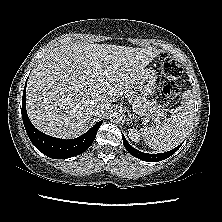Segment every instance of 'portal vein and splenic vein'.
Listing matches in <instances>:
<instances>
[{"label": "portal vein and splenic vein", "instance_id": "portal-vein-and-splenic-vein-1", "mask_svg": "<svg viewBox=\"0 0 222 222\" xmlns=\"http://www.w3.org/2000/svg\"><path fill=\"white\" fill-rule=\"evenodd\" d=\"M100 81H102L103 79L102 78H100L99 79ZM132 107H133V109H135V112L137 113V114H140L137 110H136V108H135V105L133 104L132 105ZM171 112H173V110H171ZM159 120V118H155V121H158Z\"/></svg>", "mask_w": 222, "mask_h": 222}]
</instances>
